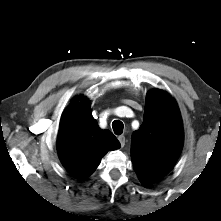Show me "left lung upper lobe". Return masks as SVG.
<instances>
[{
  "label": "left lung upper lobe",
  "mask_w": 221,
  "mask_h": 221,
  "mask_svg": "<svg viewBox=\"0 0 221 221\" xmlns=\"http://www.w3.org/2000/svg\"><path fill=\"white\" fill-rule=\"evenodd\" d=\"M183 146V129L174 99L163 90L146 97L144 121L132 134L131 159L140 180L153 182L175 165Z\"/></svg>",
  "instance_id": "5c2ea615"
}]
</instances>
